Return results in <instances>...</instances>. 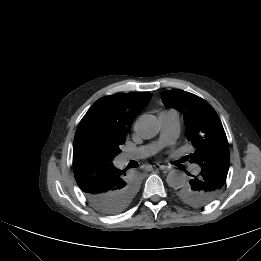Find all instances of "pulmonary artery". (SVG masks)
Listing matches in <instances>:
<instances>
[{
  "label": "pulmonary artery",
  "instance_id": "1",
  "mask_svg": "<svg viewBox=\"0 0 261 261\" xmlns=\"http://www.w3.org/2000/svg\"><path fill=\"white\" fill-rule=\"evenodd\" d=\"M158 119L161 125V134L157 142L151 145L140 147L134 153L137 157H145L154 153L158 148L165 146L175 140L180 132V118L175 110H165L159 113ZM133 154H128L125 159L132 157ZM193 173L199 172V167L193 165L190 167Z\"/></svg>",
  "mask_w": 261,
  "mask_h": 261
}]
</instances>
